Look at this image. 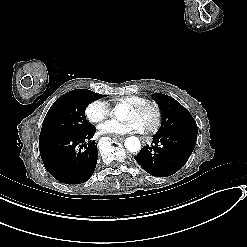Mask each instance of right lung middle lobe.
<instances>
[{
    "label": "right lung middle lobe",
    "mask_w": 247,
    "mask_h": 247,
    "mask_svg": "<svg viewBox=\"0 0 247 247\" xmlns=\"http://www.w3.org/2000/svg\"><path fill=\"white\" fill-rule=\"evenodd\" d=\"M103 95L87 89H75L60 96L51 106L42 124L39 140L57 135L79 134L92 127L85 109Z\"/></svg>",
    "instance_id": "1"
}]
</instances>
